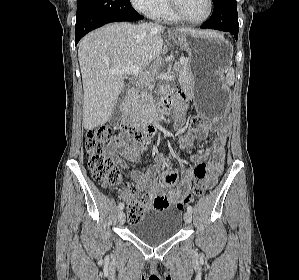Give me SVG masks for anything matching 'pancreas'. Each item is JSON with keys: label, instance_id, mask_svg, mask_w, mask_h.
I'll list each match as a JSON object with an SVG mask.
<instances>
[{"label": "pancreas", "instance_id": "cf45deb5", "mask_svg": "<svg viewBox=\"0 0 299 280\" xmlns=\"http://www.w3.org/2000/svg\"><path fill=\"white\" fill-rule=\"evenodd\" d=\"M179 82L182 87L191 89L192 81L189 73V66L186 62L183 64L179 71ZM155 109V100L152 96L151 88L143 96L137 97V99L130 106V114L134 118L135 123L147 122L148 115Z\"/></svg>", "mask_w": 299, "mask_h": 280}]
</instances>
